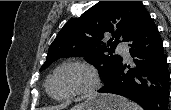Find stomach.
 Listing matches in <instances>:
<instances>
[{
    "label": "stomach",
    "mask_w": 171,
    "mask_h": 110,
    "mask_svg": "<svg viewBox=\"0 0 171 110\" xmlns=\"http://www.w3.org/2000/svg\"><path fill=\"white\" fill-rule=\"evenodd\" d=\"M125 99L112 95H96L71 110H125Z\"/></svg>",
    "instance_id": "1"
}]
</instances>
